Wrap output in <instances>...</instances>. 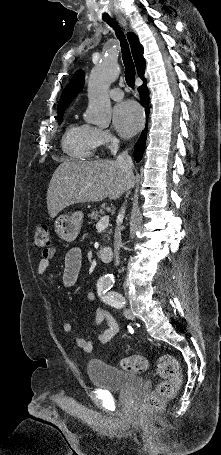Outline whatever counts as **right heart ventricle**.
<instances>
[{
    "label": "right heart ventricle",
    "mask_w": 221,
    "mask_h": 455,
    "mask_svg": "<svg viewBox=\"0 0 221 455\" xmlns=\"http://www.w3.org/2000/svg\"><path fill=\"white\" fill-rule=\"evenodd\" d=\"M62 148L73 159H90L97 148L94 127L88 124L71 123L63 135Z\"/></svg>",
    "instance_id": "1"
}]
</instances>
